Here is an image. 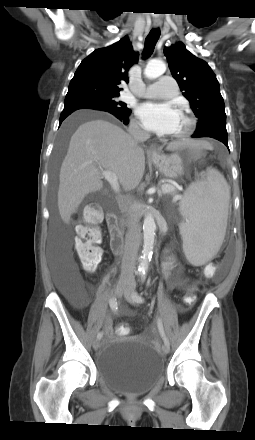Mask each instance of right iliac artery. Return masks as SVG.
I'll return each mask as SVG.
<instances>
[{"label":"right iliac artery","mask_w":255,"mask_h":440,"mask_svg":"<svg viewBox=\"0 0 255 440\" xmlns=\"http://www.w3.org/2000/svg\"><path fill=\"white\" fill-rule=\"evenodd\" d=\"M109 305H110V307H111V309H112L113 311H116V310L118 309V305H117L116 298L111 297L110 300H109ZM102 336H103V333H102V332H99V333L97 334V339L100 340V339L102 338Z\"/></svg>","instance_id":"obj_1"}]
</instances>
